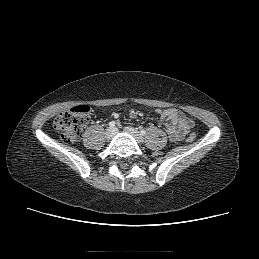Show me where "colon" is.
<instances>
[{
  "label": "colon",
  "mask_w": 259,
  "mask_h": 259,
  "mask_svg": "<svg viewBox=\"0 0 259 259\" xmlns=\"http://www.w3.org/2000/svg\"><path fill=\"white\" fill-rule=\"evenodd\" d=\"M90 116L91 108L88 105H78L58 114L53 125L63 141L75 143L80 139L82 129ZM195 139V133L188 134L186 138L188 142H193Z\"/></svg>",
  "instance_id": "5ec220e1"
}]
</instances>
